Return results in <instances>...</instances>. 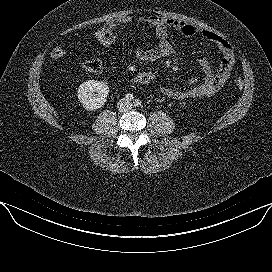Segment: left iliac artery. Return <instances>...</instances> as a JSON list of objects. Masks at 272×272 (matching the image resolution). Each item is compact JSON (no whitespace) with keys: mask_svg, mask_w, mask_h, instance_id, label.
I'll list each match as a JSON object with an SVG mask.
<instances>
[{"mask_svg":"<svg viewBox=\"0 0 272 272\" xmlns=\"http://www.w3.org/2000/svg\"><path fill=\"white\" fill-rule=\"evenodd\" d=\"M141 104H142L141 100L135 99V101H134L135 106L139 107V106H141Z\"/></svg>","mask_w":272,"mask_h":272,"instance_id":"1","label":"left iliac artery"}]
</instances>
